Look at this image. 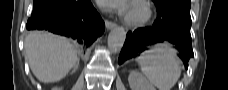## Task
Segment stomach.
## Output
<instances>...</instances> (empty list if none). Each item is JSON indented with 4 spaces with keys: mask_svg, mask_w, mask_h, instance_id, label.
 Returning <instances> with one entry per match:
<instances>
[{
    "mask_svg": "<svg viewBox=\"0 0 228 90\" xmlns=\"http://www.w3.org/2000/svg\"><path fill=\"white\" fill-rule=\"evenodd\" d=\"M150 51H151V50L146 51V52L140 57L139 61L142 59V57H143L144 55L148 54Z\"/></svg>",
    "mask_w": 228,
    "mask_h": 90,
    "instance_id": "1",
    "label": "stomach"
}]
</instances>
